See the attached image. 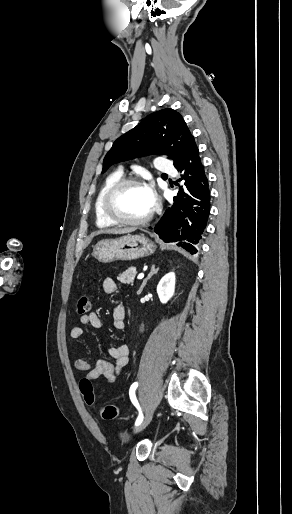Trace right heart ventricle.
<instances>
[{
    "mask_svg": "<svg viewBox=\"0 0 292 514\" xmlns=\"http://www.w3.org/2000/svg\"><path fill=\"white\" fill-rule=\"evenodd\" d=\"M122 178V174L118 171L111 173L109 176L106 177L100 188L97 190L94 201H93V212H94V219L95 223L100 228H106L113 225V223L108 220L101 210V198L104 193V191L114 182L118 181Z\"/></svg>",
    "mask_w": 292,
    "mask_h": 514,
    "instance_id": "e07e8e85",
    "label": "right heart ventricle"
}]
</instances>
